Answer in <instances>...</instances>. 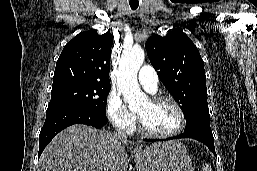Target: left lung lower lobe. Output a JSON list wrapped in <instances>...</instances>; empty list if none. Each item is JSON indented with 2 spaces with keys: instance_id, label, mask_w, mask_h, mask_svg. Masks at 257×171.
<instances>
[{
  "instance_id": "1",
  "label": "left lung lower lobe",
  "mask_w": 257,
  "mask_h": 171,
  "mask_svg": "<svg viewBox=\"0 0 257 171\" xmlns=\"http://www.w3.org/2000/svg\"><path fill=\"white\" fill-rule=\"evenodd\" d=\"M179 138H192V139L198 140L203 144H205L209 148V150L216 156L215 147H214V137H213L212 131L202 130V129H193V130L184 131V133L178 136H173L165 140L179 139ZM144 141H159V139H144Z\"/></svg>"
}]
</instances>
